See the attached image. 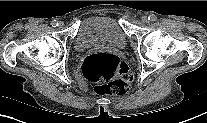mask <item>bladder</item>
<instances>
[{"label": "bladder", "mask_w": 207, "mask_h": 123, "mask_svg": "<svg viewBox=\"0 0 207 123\" xmlns=\"http://www.w3.org/2000/svg\"><path fill=\"white\" fill-rule=\"evenodd\" d=\"M126 46V35L115 18L94 16L85 19L79 26L75 39L78 51L118 50Z\"/></svg>", "instance_id": "obj_1"}]
</instances>
